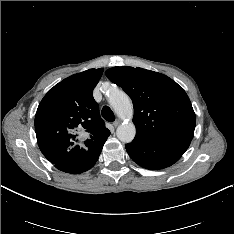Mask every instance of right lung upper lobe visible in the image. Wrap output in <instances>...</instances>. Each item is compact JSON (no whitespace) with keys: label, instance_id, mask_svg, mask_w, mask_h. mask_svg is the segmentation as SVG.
Segmentation results:
<instances>
[{"label":"right lung upper lobe","instance_id":"right-lung-upper-lobe-1","mask_svg":"<svg viewBox=\"0 0 234 234\" xmlns=\"http://www.w3.org/2000/svg\"><path fill=\"white\" fill-rule=\"evenodd\" d=\"M103 69L72 75L48 91L35 116L39 148L53 164L73 162L110 135L93 89Z\"/></svg>","mask_w":234,"mask_h":234}]
</instances>
